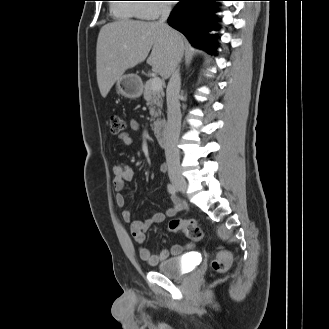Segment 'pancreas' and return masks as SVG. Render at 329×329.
<instances>
[{
  "label": "pancreas",
  "mask_w": 329,
  "mask_h": 329,
  "mask_svg": "<svg viewBox=\"0 0 329 329\" xmlns=\"http://www.w3.org/2000/svg\"><path fill=\"white\" fill-rule=\"evenodd\" d=\"M164 91L161 88L160 90L154 91L151 87V80H147L144 85V99L147 102V106L150 110V115L152 117L151 121L161 115V108L163 105ZM159 121H155L156 125Z\"/></svg>",
  "instance_id": "cf45deb5"
}]
</instances>
